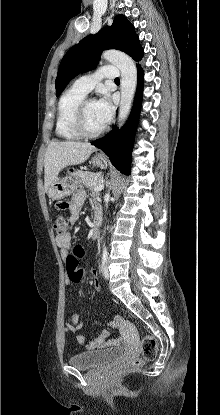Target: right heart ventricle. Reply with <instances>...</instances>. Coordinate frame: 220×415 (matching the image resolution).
I'll return each mask as SVG.
<instances>
[{"label":"right heart ventricle","instance_id":"right-heart-ventricle-1","mask_svg":"<svg viewBox=\"0 0 220 415\" xmlns=\"http://www.w3.org/2000/svg\"><path fill=\"white\" fill-rule=\"evenodd\" d=\"M86 94L71 87L60 97L57 105L55 132L60 138L78 140L81 137L72 126V118L78 104L85 99Z\"/></svg>","mask_w":220,"mask_h":415}]
</instances>
